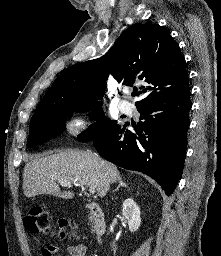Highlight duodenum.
Returning a JSON list of instances; mask_svg holds the SVG:
<instances>
[{
  "label": "duodenum",
  "instance_id": "duodenum-1",
  "mask_svg": "<svg viewBox=\"0 0 221 256\" xmlns=\"http://www.w3.org/2000/svg\"><path fill=\"white\" fill-rule=\"evenodd\" d=\"M85 208L89 211L92 221V231L96 240L100 243L106 232V220L102 208L99 204L91 202Z\"/></svg>",
  "mask_w": 221,
  "mask_h": 256
}]
</instances>
